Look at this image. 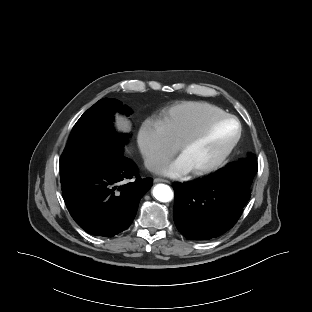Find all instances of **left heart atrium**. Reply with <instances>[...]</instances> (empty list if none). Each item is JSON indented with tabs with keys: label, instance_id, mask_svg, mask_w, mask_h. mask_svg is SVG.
Returning a JSON list of instances; mask_svg holds the SVG:
<instances>
[{
	"label": "left heart atrium",
	"instance_id": "39dd6f15",
	"mask_svg": "<svg viewBox=\"0 0 312 312\" xmlns=\"http://www.w3.org/2000/svg\"><path fill=\"white\" fill-rule=\"evenodd\" d=\"M190 170L191 167L189 166L185 158L180 155L173 162L165 166L162 169V173L170 177H179L188 173Z\"/></svg>",
	"mask_w": 312,
	"mask_h": 312
}]
</instances>
